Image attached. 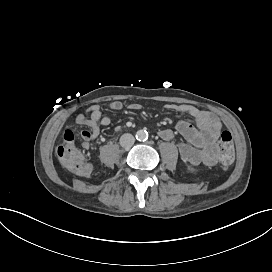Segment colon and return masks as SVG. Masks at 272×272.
Listing matches in <instances>:
<instances>
[{
  "mask_svg": "<svg viewBox=\"0 0 272 272\" xmlns=\"http://www.w3.org/2000/svg\"><path fill=\"white\" fill-rule=\"evenodd\" d=\"M75 145L76 135L74 131L70 129L61 131L59 135V146L56 149V154L59 157L58 164L61 167H66L69 172L87 175L91 171V166L85 163L83 156ZM211 156L218 157L223 167L231 166L234 161L235 150L230 132L225 131L221 133L219 144Z\"/></svg>",
  "mask_w": 272,
  "mask_h": 272,
  "instance_id": "1",
  "label": "colon"
}]
</instances>
